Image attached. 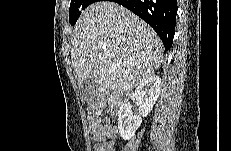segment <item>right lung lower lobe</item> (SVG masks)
<instances>
[{"instance_id": "98d812e1", "label": "right lung lower lobe", "mask_w": 231, "mask_h": 151, "mask_svg": "<svg viewBox=\"0 0 231 151\" xmlns=\"http://www.w3.org/2000/svg\"><path fill=\"white\" fill-rule=\"evenodd\" d=\"M147 22L161 38L165 50L172 47L176 25V0H113Z\"/></svg>"}]
</instances>
